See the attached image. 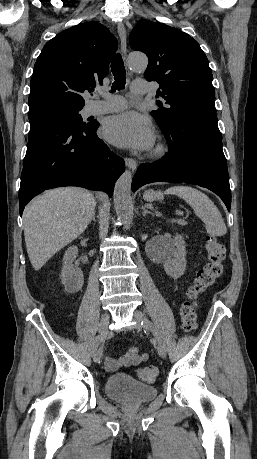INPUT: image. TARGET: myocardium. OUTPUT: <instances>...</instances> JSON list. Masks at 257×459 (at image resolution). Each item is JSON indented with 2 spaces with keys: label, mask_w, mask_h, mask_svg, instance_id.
<instances>
[{
  "label": "myocardium",
  "mask_w": 257,
  "mask_h": 459,
  "mask_svg": "<svg viewBox=\"0 0 257 459\" xmlns=\"http://www.w3.org/2000/svg\"><path fill=\"white\" fill-rule=\"evenodd\" d=\"M167 151L166 145L163 142H158L152 151V155L155 157L163 156Z\"/></svg>",
  "instance_id": "f54148a6"
}]
</instances>
